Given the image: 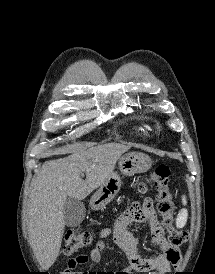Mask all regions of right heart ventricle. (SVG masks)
Listing matches in <instances>:
<instances>
[{"label":"right heart ventricle","mask_w":215,"mask_h":274,"mask_svg":"<svg viewBox=\"0 0 215 274\" xmlns=\"http://www.w3.org/2000/svg\"><path fill=\"white\" fill-rule=\"evenodd\" d=\"M132 129L138 135H148L150 131V127L146 124L135 125Z\"/></svg>","instance_id":"right-heart-ventricle-1"}]
</instances>
